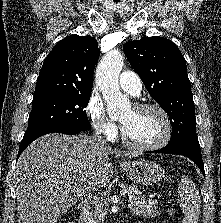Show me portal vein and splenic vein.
<instances>
[{
  "label": "portal vein and splenic vein",
  "instance_id": "1",
  "mask_svg": "<svg viewBox=\"0 0 221 223\" xmlns=\"http://www.w3.org/2000/svg\"><path fill=\"white\" fill-rule=\"evenodd\" d=\"M121 193L124 195V194L127 193V191L126 190H123V191H121ZM78 194H80V195H86L87 198L89 200H92V202H94L95 204H98L99 203V198H97L96 196H93L90 192H87L84 189L83 190H79L78 191Z\"/></svg>",
  "mask_w": 221,
  "mask_h": 223
}]
</instances>
